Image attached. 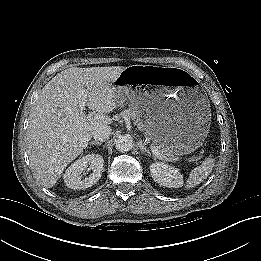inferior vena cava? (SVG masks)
Segmentation results:
<instances>
[{
	"mask_svg": "<svg viewBox=\"0 0 261 261\" xmlns=\"http://www.w3.org/2000/svg\"><path fill=\"white\" fill-rule=\"evenodd\" d=\"M112 129L108 125H102L94 129L92 135L95 141L104 142L109 139Z\"/></svg>",
	"mask_w": 261,
	"mask_h": 261,
	"instance_id": "602c4592",
	"label": "inferior vena cava"
}]
</instances>
